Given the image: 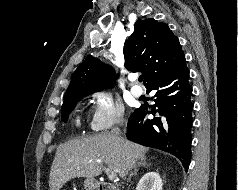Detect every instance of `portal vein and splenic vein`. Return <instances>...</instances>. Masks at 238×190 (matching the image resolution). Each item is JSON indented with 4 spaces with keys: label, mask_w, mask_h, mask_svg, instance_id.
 <instances>
[{
    "label": "portal vein and splenic vein",
    "mask_w": 238,
    "mask_h": 190,
    "mask_svg": "<svg viewBox=\"0 0 238 190\" xmlns=\"http://www.w3.org/2000/svg\"><path fill=\"white\" fill-rule=\"evenodd\" d=\"M104 170H105V172H106V174H107V176L110 180L116 179V173L115 172H113L109 169H106V168Z\"/></svg>",
    "instance_id": "18ae733b"
}]
</instances>
